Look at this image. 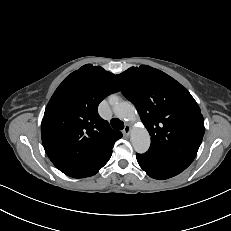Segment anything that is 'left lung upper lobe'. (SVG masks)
I'll return each mask as SVG.
<instances>
[{
    "label": "left lung upper lobe",
    "instance_id": "5c2ea615",
    "mask_svg": "<svg viewBox=\"0 0 231 231\" xmlns=\"http://www.w3.org/2000/svg\"><path fill=\"white\" fill-rule=\"evenodd\" d=\"M151 135L147 154L192 163L205 132L201 110L189 91L164 72L147 65L116 75Z\"/></svg>",
    "mask_w": 231,
    "mask_h": 231
}]
</instances>
